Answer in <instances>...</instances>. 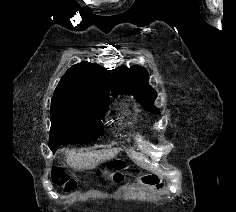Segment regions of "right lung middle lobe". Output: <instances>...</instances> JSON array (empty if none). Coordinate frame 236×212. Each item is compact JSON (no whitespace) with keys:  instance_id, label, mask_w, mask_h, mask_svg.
<instances>
[{"instance_id":"obj_1","label":"right lung middle lobe","mask_w":236,"mask_h":212,"mask_svg":"<svg viewBox=\"0 0 236 212\" xmlns=\"http://www.w3.org/2000/svg\"><path fill=\"white\" fill-rule=\"evenodd\" d=\"M109 99L97 101L93 106L51 104L50 149L60 145L94 142L102 135L105 112Z\"/></svg>"}]
</instances>
